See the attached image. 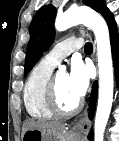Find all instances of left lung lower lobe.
Segmentation results:
<instances>
[{"mask_svg":"<svg viewBox=\"0 0 119 141\" xmlns=\"http://www.w3.org/2000/svg\"><path fill=\"white\" fill-rule=\"evenodd\" d=\"M106 21L110 30L111 49H112V55L114 60L116 79H117V83L119 84V36L117 33L116 24L112 14H110L106 18ZM92 88L93 89H92L90 104H89L90 110H91L89 114L90 119H92L93 117V112H94V107H95L96 97H97V83L96 82L93 84ZM88 139L90 141H93V131H91L90 134L88 135Z\"/></svg>","mask_w":119,"mask_h":141,"instance_id":"left-lung-lower-lobe-1","label":"left lung lower lobe"}]
</instances>
